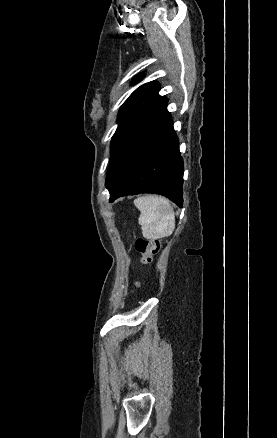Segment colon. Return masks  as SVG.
Returning a JSON list of instances; mask_svg holds the SVG:
<instances>
[{"instance_id":"5ec220e1","label":"colon","mask_w":277,"mask_h":438,"mask_svg":"<svg viewBox=\"0 0 277 438\" xmlns=\"http://www.w3.org/2000/svg\"><path fill=\"white\" fill-rule=\"evenodd\" d=\"M160 247V244H157L154 241L144 238L142 236L138 237L136 241V249L143 255L145 264H149L151 262L152 255H154L156 250Z\"/></svg>"}]
</instances>
